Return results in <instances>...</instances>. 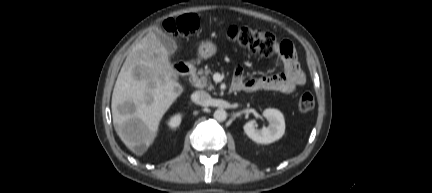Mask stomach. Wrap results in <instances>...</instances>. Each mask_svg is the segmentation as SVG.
Returning a JSON list of instances; mask_svg holds the SVG:
<instances>
[{
	"mask_svg": "<svg viewBox=\"0 0 432 193\" xmlns=\"http://www.w3.org/2000/svg\"><path fill=\"white\" fill-rule=\"evenodd\" d=\"M217 46L211 41L202 42L198 47V55L202 59H208L215 55Z\"/></svg>",
	"mask_w": 432,
	"mask_h": 193,
	"instance_id": "1",
	"label": "stomach"
}]
</instances>
